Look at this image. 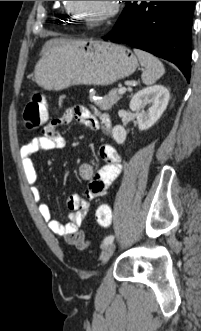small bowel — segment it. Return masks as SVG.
<instances>
[{"label":"small bowel","instance_id":"obj_1","mask_svg":"<svg viewBox=\"0 0 201 331\" xmlns=\"http://www.w3.org/2000/svg\"><path fill=\"white\" fill-rule=\"evenodd\" d=\"M77 121L91 130L101 129L105 134L110 131L109 117L104 113H97L81 105H74L65 110L59 118L52 119L44 128L42 135L32 138L20 148V157L23 171L30 185L34 200L39 204L38 209L49 229L56 235L63 237L69 245L76 244L77 240L84 238L80 230L84 217L89 211V200L103 196L107 187L121 172V160L113 146L103 144L99 147V156L103 165L94 172L92 166L83 163L79 167V175L88 181L85 197L78 194L68 197L66 201L68 222L61 223L54 219L50 207L43 202V195L37 186V171L33 162L34 154L50 150L63 149L65 140L59 132V127Z\"/></svg>","mask_w":201,"mask_h":331}]
</instances>
